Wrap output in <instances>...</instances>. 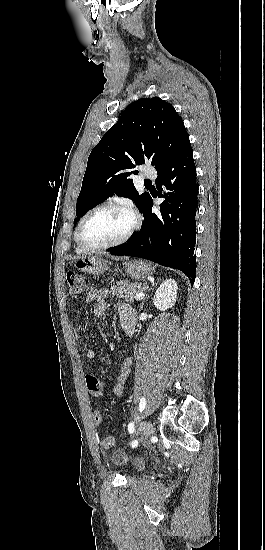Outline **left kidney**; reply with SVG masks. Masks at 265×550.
<instances>
[{
    "instance_id": "1",
    "label": "left kidney",
    "mask_w": 265,
    "mask_h": 550,
    "mask_svg": "<svg viewBox=\"0 0 265 550\" xmlns=\"http://www.w3.org/2000/svg\"><path fill=\"white\" fill-rule=\"evenodd\" d=\"M178 286L175 280L167 279L156 290L153 303L157 309L166 311L174 306L177 298Z\"/></svg>"
}]
</instances>
